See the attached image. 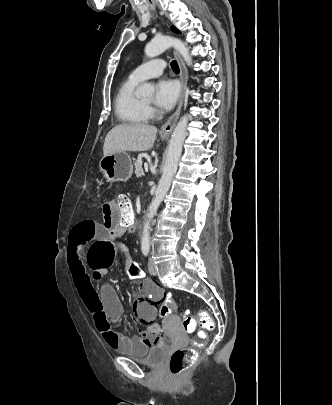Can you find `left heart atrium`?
Listing matches in <instances>:
<instances>
[{
    "label": "left heart atrium",
    "instance_id": "left-heart-atrium-1",
    "mask_svg": "<svg viewBox=\"0 0 332 405\" xmlns=\"http://www.w3.org/2000/svg\"><path fill=\"white\" fill-rule=\"evenodd\" d=\"M180 87L176 81L161 80L156 86L155 103L163 108H172L178 100Z\"/></svg>",
    "mask_w": 332,
    "mask_h": 405
}]
</instances>
